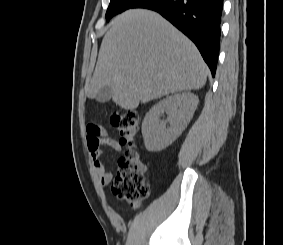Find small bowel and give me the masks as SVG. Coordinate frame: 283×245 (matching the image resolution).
<instances>
[{
    "mask_svg": "<svg viewBox=\"0 0 283 245\" xmlns=\"http://www.w3.org/2000/svg\"><path fill=\"white\" fill-rule=\"evenodd\" d=\"M87 146L91 154L96 172L99 176L100 183L107 185L112 180V173L107 171L101 156L103 154L102 147L108 146L115 151L121 149V143L116 139L108 136V131L105 127L91 124L87 130Z\"/></svg>",
    "mask_w": 283,
    "mask_h": 245,
    "instance_id": "c3829d8e",
    "label": "small bowel"
}]
</instances>
